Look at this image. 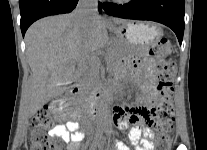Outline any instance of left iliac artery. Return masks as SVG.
Listing matches in <instances>:
<instances>
[{"mask_svg":"<svg viewBox=\"0 0 207 150\" xmlns=\"http://www.w3.org/2000/svg\"><path fill=\"white\" fill-rule=\"evenodd\" d=\"M116 146L118 150H129V148L120 141H116Z\"/></svg>","mask_w":207,"mask_h":150,"instance_id":"obj_1","label":"left iliac artery"}]
</instances>
